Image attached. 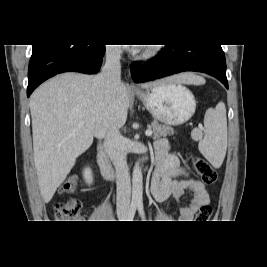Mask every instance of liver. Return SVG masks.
Listing matches in <instances>:
<instances>
[{"mask_svg":"<svg viewBox=\"0 0 267 267\" xmlns=\"http://www.w3.org/2000/svg\"><path fill=\"white\" fill-rule=\"evenodd\" d=\"M162 82L203 85L205 79L193 73H181ZM156 84L145 83L141 87L148 89ZM128 108L125 85L121 83L109 89L98 76L61 74L32 93L34 162L45 203L52 199L94 137L103 138L110 127L125 124ZM80 122L84 125L78 126Z\"/></svg>","mask_w":267,"mask_h":267,"instance_id":"liver-1","label":"liver"}]
</instances>
